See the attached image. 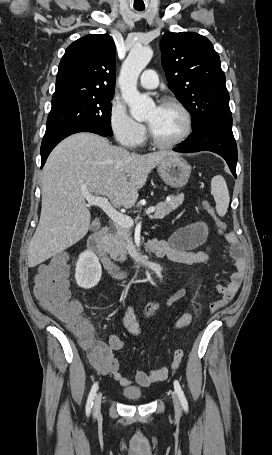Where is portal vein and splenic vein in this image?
<instances>
[{"label": "portal vein and splenic vein", "instance_id": "obj_1", "mask_svg": "<svg viewBox=\"0 0 272 455\" xmlns=\"http://www.w3.org/2000/svg\"><path fill=\"white\" fill-rule=\"evenodd\" d=\"M83 196L87 200L88 205H93V206H97V207L101 208L111 218V220L114 223H116L117 225H120V226H123L126 228L133 227V225H134L133 219H131L129 216L121 214L117 210H115L113 208V206L109 203L107 198L92 195L88 191L83 192ZM154 211H155V207H149L146 210V214H151Z\"/></svg>", "mask_w": 272, "mask_h": 455}]
</instances>
